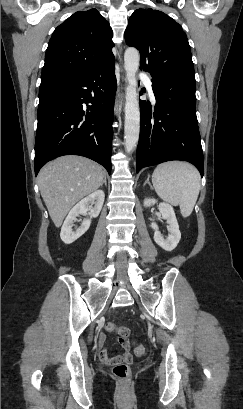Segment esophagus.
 <instances>
[{"label": "esophagus", "instance_id": "34e87169", "mask_svg": "<svg viewBox=\"0 0 243 409\" xmlns=\"http://www.w3.org/2000/svg\"><path fill=\"white\" fill-rule=\"evenodd\" d=\"M124 102V96H122L121 98H116L115 100V114L118 115V111H119V107L120 105H122Z\"/></svg>", "mask_w": 243, "mask_h": 409}]
</instances>
